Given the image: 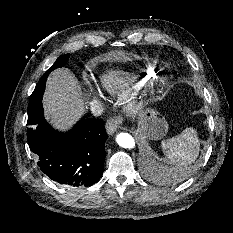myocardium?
Here are the masks:
<instances>
[{"label": "myocardium", "mask_w": 233, "mask_h": 233, "mask_svg": "<svg viewBox=\"0 0 233 233\" xmlns=\"http://www.w3.org/2000/svg\"><path fill=\"white\" fill-rule=\"evenodd\" d=\"M144 103L143 102H139L137 104H134L133 106H131V110L132 111H136V110H139L143 107Z\"/></svg>", "instance_id": "obj_1"}]
</instances>
